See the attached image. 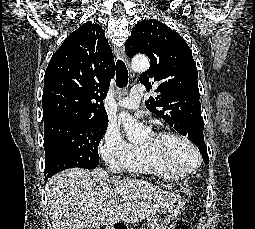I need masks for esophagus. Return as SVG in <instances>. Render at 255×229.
Instances as JSON below:
<instances>
[{"mask_svg": "<svg viewBox=\"0 0 255 229\" xmlns=\"http://www.w3.org/2000/svg\"><path fill=\"white\" fill-rule=\"evenodd\" d=\"M114 53L116 55L117 58H120L121 60H123L125 62V64L128 66L129 62L125 53V49L124 47H114ZM132 76V73L130 74Z\"/></svg>", "mask_w": 255, "mask_h": 229, "instance_id": "esophagus-1", "label": "esophagus"}]
</instances>
